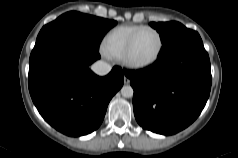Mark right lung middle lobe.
Wrapping results in <instances>:
<instances>
[{"label": "right lung middle lobe", "mask_w": 238, "mask_h": 158, "mask_svg": "<svg viewBox=\"0 0 238 158\" xmlns=\"http://www.w3.org/2000/svg\"><path fill=\"white\" fill-rule=\"evenodd\" d=\"M116 23L114 20L70 11L45 25L38 34L36 41L54 33L66 34L88 47L98 50L102 38Z\"/></svg>", "instance_id": "obj_1"}]
</instances>
